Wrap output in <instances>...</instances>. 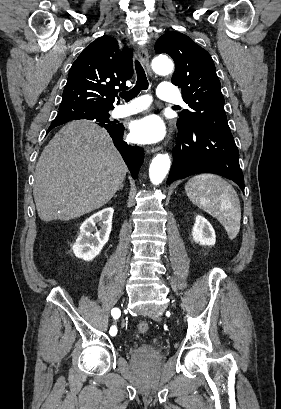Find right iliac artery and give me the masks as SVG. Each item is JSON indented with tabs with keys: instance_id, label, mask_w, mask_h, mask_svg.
<instances>
[{
	"instance_id": "right-iliac-artery-1",
	"label": "right iliac artery",
	"mask_w": 281,
	"mask_h": 409,
	"mask_svg": "<svg viewBox=\"0 0 281 409\" xmlns=\"http://www.w3.org/2000/svg\"><path fill=\"white\" fill-rule=\"evenodd\" d=\"M111 315L113 316L114 319L119 318V316H120V310H119L118 308L112 309ZM116 333H117L116 327H115V326H112L111 329H110V335L114 336V335H116Z\"/></svg>"
}]
</instances>
